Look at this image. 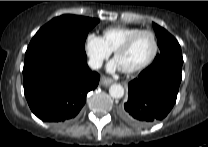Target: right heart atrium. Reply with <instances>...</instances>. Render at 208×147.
Listing matches in <instances>:
<instances>
[{
  "label": "right heart atrium",
  "instance_id": "obj_1",
  "mask_svg": "<svg viewBox=\"0 0 208 147\" xmlns=\"http://www.w3.org/2000/svg\"><path fill=\"white\" fill-rule=\"evenodd\" d=\"M86 52L91 64L95 67L100 66L103 60L108 58L111 54V50L108 48L103 38L94 33H90L86 37Z\"/></svg>",
  "mask_w": 208,
  "mask_h": 147
}]
</instances>
